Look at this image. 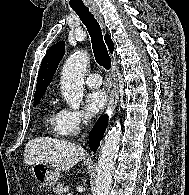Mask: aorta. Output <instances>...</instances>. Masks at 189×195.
I'll return each instance as SVG.
<instances>
[{"label":"aorta","mask_w":189,"mask_h":195,"mask_svg":"<svg viewBox=\"0 0 189 195\" xmlns=\"http://www.w3.org/2000/svg\"><path fill=\"white\" fill-rule=\"evenodd\" d=\"M89 63L86 52L78 51L71 55L63 65L61 73V93L72 109H79L83 98L84 76ZM121 136V129L113 126L105 136L99 153L97 176L93 195H108L112 184Z\"/></svg>","instance_id":"1"}]
</instances>
